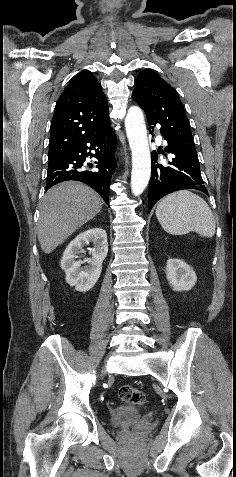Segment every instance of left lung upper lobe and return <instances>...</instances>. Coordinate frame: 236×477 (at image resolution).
<instances>
[{
  "label": "left lung upper lobe",
  "mask_w": 236,
  "mask_h": 477,
  "mask_svg": "<svg viewBox=\"0 0 236 477\" xmlns=\"http://www.w3.org/2000/svg\"><path fill=\"white\" fill-rule=\"evenodd\" d=\"M132 98L145 111L149 123L161 126L160 132L167 142L197 155L182 102L156 72L145 69L139 73Z\"/></svg>",
  "instance_id": "obj_1"
}]
</instances>
